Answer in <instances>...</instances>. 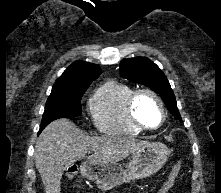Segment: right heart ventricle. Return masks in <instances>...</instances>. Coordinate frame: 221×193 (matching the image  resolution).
I'll return each instance as SVG.
<instances>
[{
	"label": "right heart ventricle",
	"instance_id": "e07e8e85",
	"mask_svg": "<svg viewBox=\"0 0 221 193\" xmlns=\"http://www.w3.org/2000/svg\"><path fill=\"white\" fill-rule=\"evenodd\" d=\"M133 92L131 86L116 81H107L95 91L89 99L88 108L98 130L127 136L142 133L128 113V100Z\"/></svg>",
	"mask_w": 221,
	"mask_h": 193
}]
</instances>
